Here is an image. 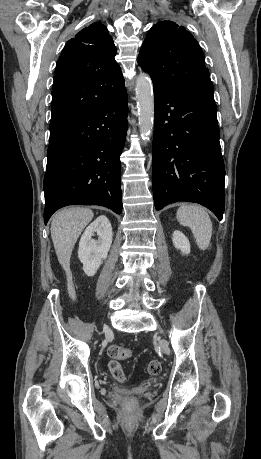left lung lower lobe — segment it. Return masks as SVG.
Masks as SVG:
<instances>
[{
    "label": "left lung lower lobe",
    "instance_id": "obj_1",
    "mask_svg": "<svg viewBox=\"0 0 261 459\" xmlns=\"http://www.w3.org/2000/svg\"><path fill=\"white\" fill-rule=\"evenodd\" d=\"M153 87L156 210L177 201L195 202L221 220L225 169L214 99Z\"/></svg>",
    "mask_w": 261,
    "mask_h": 459
}]
</instances>
